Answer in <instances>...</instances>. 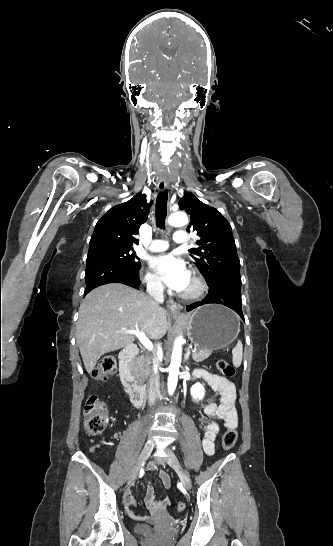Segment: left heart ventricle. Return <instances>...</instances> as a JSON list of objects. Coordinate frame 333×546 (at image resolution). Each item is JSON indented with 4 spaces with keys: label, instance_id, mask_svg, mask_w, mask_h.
I'll use <instances>...</instances> for the list:
<instances>
[{
    "label": "left heart ventricle",
    "instance_id": "1",
    "mask_svg": "<svg viewBox=\"0 0 333 546\" xmlns=\"http://www.w3.org/2000/svg\"><path fill=\"white\" fill-rule=\"evenodd\" d=\"M193 289H194V283H193V281L191 279L190 282H189V285L187 286V288L184 291H192Z\"/></svg>",
    "mask_w": 333,
    "mask_h": 546
}]
</instances>
